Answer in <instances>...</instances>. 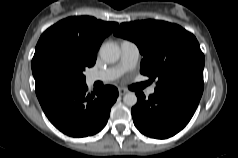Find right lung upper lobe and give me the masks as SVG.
Wrapping results in <instances>:
<instances>
[{
	"mask_svg": "<svg viewBox=\"0 0 238 158\" xmlns=\"http://www.w3.org/2000/svg\"><path fill=\"white\" fill-rule=\"evenodd\" d=\"M116 22H104L90 16H74L63 19L48 28L39 42L54 38L77 48L86 59L95 64L97 51L105 37L116 28Z\"/></svg>",
	"mask_w": 238,
	"mask_h": 158,
	"instance_id": "cb5924a9",
	"label": "right lung upper lobe"
}]
</instances>
